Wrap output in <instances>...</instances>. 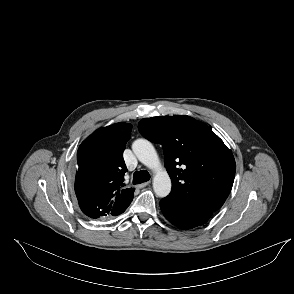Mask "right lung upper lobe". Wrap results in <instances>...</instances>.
<instances>
[{
	"mask_svg": "<svg viewBox=\"0 0 294 294\" xmlns=\"http://www.w3.org/2000/svg\"><path fill=\"white\" fill-rule=\"evenodd\" d=\"M132 125L116 123L96 130L79 146L75 193L83 213L90 218H108L123 213L134 189H123L127 168L123 151Z\"/></svg>",
	"mask_w": 294,
	"mask_h": 294,
	"instance_id": "cb5924a9",
	"label": "right lung upper lobe"
}]
</instances>
